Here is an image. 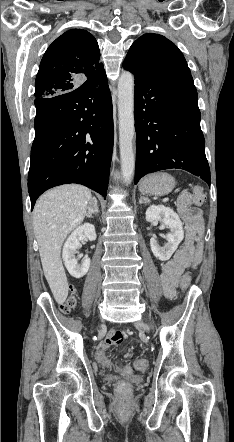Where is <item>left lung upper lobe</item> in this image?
Masks as SVG:
<instances>
[{
	"label": "left lung upper lobe",
	"instance_id": "1",
	"mask_svg": "<svg viewBox=\"0 0 234 442\" xmlns=\"http://www.w3.org/2000/svg\"><path fill=\"white\" fill-rule=\"evenodd\" d=\"M123 64L143 72L190 73L183 54L174 43L153 33L144 34L132 44Z\"/></svg>",
	"mask_w": 234,
	"mask_h": 442
}]
</instances>
